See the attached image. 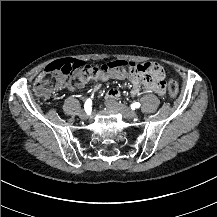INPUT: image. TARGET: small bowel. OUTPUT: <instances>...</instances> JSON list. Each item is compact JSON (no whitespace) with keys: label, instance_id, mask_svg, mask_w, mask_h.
<instances>
[{"label":"small bowel","instance_id":"c3829d8e","mask_svg":"<svg viewBox=\"0 0 217 217\" xmlns=\"http://www.w3.org/2000/svg\"><path fill=\"white\" fill-rule=\"evenodd\" d=\"M127 73L122 70H104L102 68L95 69L91 74H78L77 82L75 88H83L89 81L95 82H107L110 80L123 81L127 78ZM66 83V78L64 76L59 77V87H63ZM147 88L156 94L162 95L164 93V87L161 84H148ZM139 93V88L136 84L131 91L132 96H136ZM121 96V91L112 88L106 92L105 100L106 102H111L118 99Z\"/></svg>","mask_w":217,"mask_h":217}]
</instances>
